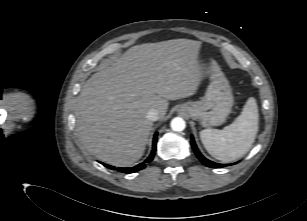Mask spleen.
I'll list each match as a JSON object with an SVG mask.
<instances>
[{"label": "spleen", "instance_id": "1", "mask_svg": "<svg viewBox=\"0 0 307 221\" xmlns=\"http://www.w3.org/2000/svg\"><path fill=\"white\" fill-rule=\"evenodd\" d=\"M258 127V106L255 98L250 97L232 124L222 130L204 129L200 132V138L212 157L222 162H231L242 158L250 150Z\"/></svg>", "mask_w": 307, "mask_h": 221}]
</instances>
